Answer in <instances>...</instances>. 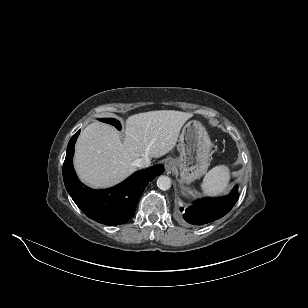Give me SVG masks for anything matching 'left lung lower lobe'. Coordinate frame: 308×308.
Returning <instances> with one entry per match:
<instances>
[{"label":"left lung lower lobe","instance_id":"0a47b994","mask_svg":"<svg viewBox=\"0 0 308 308\" xmlns=\"http://www.w3.org/2000/svg\"><path fill=\"white\" fill-rule=\"evenodd\" d=\"M238 186L231 193L221 198H204L197 200L193 205L180 208L186 222L193 225H203L215 221L226 215L238 200Z\"/></svg>","mask_w":308,"mask_h":308}]
</instances>
